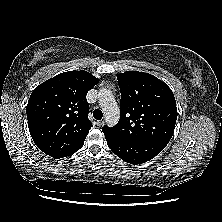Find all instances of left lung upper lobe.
I'll list each match as a JSON object with an SVG mask.
<instances>
[{"label":"left lung upper lobe","mask_w":222,"mask_h":222,"mask_svg":"<svg viewBox=\"0 0 222 222\" xmlns=\"http://www.w3.org/2000/svg\"><path fill=\"white\" fill-rule=\"evenodd\" d=\"M117 79L121 91L120 119L116 126L102 129L127 140L167 145L177 119L172 90L148 73L126 71Z\"/></svg>","instance_id":"left-lung-upper-lobe-1"}]
</instances>
